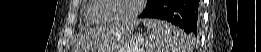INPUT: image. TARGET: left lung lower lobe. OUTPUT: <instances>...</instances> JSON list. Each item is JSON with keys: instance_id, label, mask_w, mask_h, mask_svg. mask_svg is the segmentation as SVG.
Masks as SVG:
<instances>
[{"instance_id": "0a47b994", "label": "left lung lower lobe", "mask_w": 261, "mask_h": 52, "mask_svg": "<svg viewBox=\"0 0 261 52\" xmlns=\"http://www.w3.org/2000/svg\"><path fill=\"white\" fill-rule=\"evenodd\" d=\"M200 12V0H153L139 18L167 20L191 36H197Z\"/></svg>"}]
</instances>
